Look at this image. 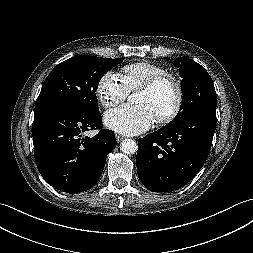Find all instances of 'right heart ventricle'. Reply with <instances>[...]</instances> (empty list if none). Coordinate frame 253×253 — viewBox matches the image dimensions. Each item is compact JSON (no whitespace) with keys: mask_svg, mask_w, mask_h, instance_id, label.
<instances>
[{"mask_svg":"<svg viewBox=\"0 0 253 253\" xmlns=\"http://www.w3.org/2000/svg\"><path fill=\"white\" fill-rule=\"evenodd\" d=\"M165 73L166 69L159 64L150 61H138L125 65L121 69L120 77L129 91H135L154 77Z\"/></svg>","mask_w":253,"mask_h":253,"instance_id":"obj_1","label":"right heart ventricle"}]
</instances>
